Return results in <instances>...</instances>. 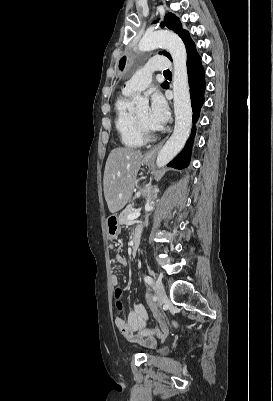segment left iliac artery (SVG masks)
Returning a JSON list of instances; mask_svg holds the SVG:
<instances>
[{
  "instance_id": "obj_1",
  "label": "left iliac artery",
  "mask_w": 273,
  "mask_h": 401,
  "mask_svg": "<svg viewBox=\"0 0 273 401\" xmlns=\"http://www.w3.org/2000/svg\"><path fill=\"white\" fill-rule=\"evenodd\" d=\"M144 280L148 284H153V279L150 276H145Z\"/></svg>"
}]
</instances>
